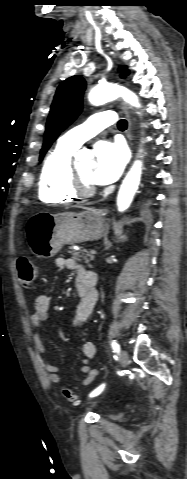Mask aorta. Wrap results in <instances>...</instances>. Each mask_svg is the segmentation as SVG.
Returning a JSON list of instances; mask_svg holds the SVG:
<instances>
[{
  "mask_svg": "<svg viewBox=\"0 0 187 479\" xmlns=\"http://www.w3.org/2000/svg\"><path fill=\"white\" fill-rule=\"evenodd\" d=\"M122 97L125 102L139 108L140 103L138 97L128 89L114 85L105 84L94 87L88 95L89 102L92 105H102L108 101ZM142 173V161L136 160L132 165L130 171L122 182L117 196V207L119 212L127 210L133 200V197L138 189Z\"/></svg>",
  "mask_w": 187,
  "mask_h": 479,
  "instance_id": "obj_1",
  "label": "aorta"
}]
</instances>
